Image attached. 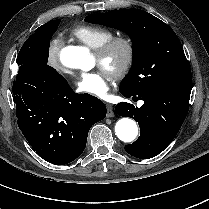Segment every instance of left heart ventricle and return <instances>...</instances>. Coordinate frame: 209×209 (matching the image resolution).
<instances>
[{
	"label": "left heart ventricle",
	"mask_w": 209,
	"mask_h": 209,
	"mask_svg": "<svg viewBox=\"0 0 209 209\" xmlns=\"http://www.w3.org/2000/svg\"><path fill=\"white\" fill-rule=\"evenodd\" d=\"M123 54L122 49H118L107 64H100L95 56V63L100 65L108 73L109 68L115 67L121 61Z\"/></svg>",
	"instance_id": "b2bd125f"
}]
</instances>
